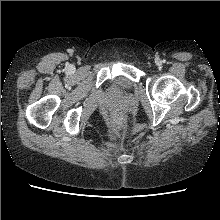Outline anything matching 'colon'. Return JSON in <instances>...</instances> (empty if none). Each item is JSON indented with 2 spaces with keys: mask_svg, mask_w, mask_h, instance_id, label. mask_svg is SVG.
Here are the masks:
<instances>
[{
  "mask_svg": "<svg viewBox=\"0 0 220 220\" xmlns=\"http://www.w3.org/2000/svg\"><path fill=\"white\" fill-rule=\"evenodd\" d=\"M113 132L117 137H120V138L126 136L127 134L126 127L123 123V120L122 118L118 116L114 119Z\"/></svg>",
  "mask_w": 220,
  "mask_h": 220,
  "instance_id": "1",
  "label": "colon"
}]
</instances>
